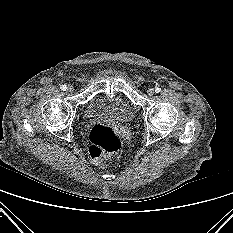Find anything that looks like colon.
I'll use <instances>...</instances> for the list:
<instances>
[{"label":"colon","instance_id":"colon-1","mask_svg":"<svg viewBox=\"0 0 233 233\" xmlns=\"http://www.w3.org/2000/svg\"><path fill=\"white\" fill-rule=\"evenodd\" d=\"M89 154L94 163L104 165L106 158L114 156L122 147V140L115 130L105 124H96L89 134Z\"/></svg>","mask_w":233,"mask_h":233}]
</instances>
